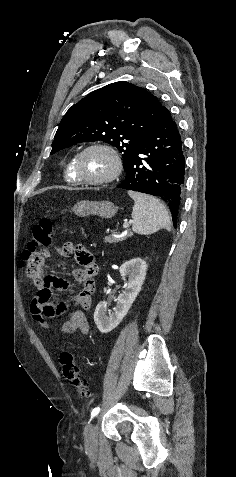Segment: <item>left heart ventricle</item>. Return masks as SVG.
I'll use <instances>...</instances> for the list:
<instances>
[{
	"label": "left heart ventricle",
	"instance_id": "b2bd125f",
	"mask_svg": "<svg viewBox=\"0 0 236 477\" xmlns=\"http://www.w3.org/2000/svg\"><path fill=\"white\" fill-rule=\"evenodd\" d=\"M112 169L111 159L102 151L91 150L81 159V174L90 179L101 178L110 173Z\"/></svg>",
	"mask_w": 236,
	"mask_h": 477
}]
</instances>
